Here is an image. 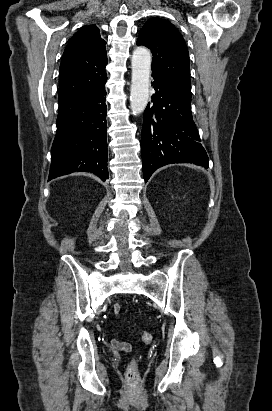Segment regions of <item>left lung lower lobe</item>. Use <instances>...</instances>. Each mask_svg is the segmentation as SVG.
<instances>
[{
  "label": "left lung lower lobe",
  "mask_w": 272,
  "mask_h": 411,
  "mask_svg": "<svg viewBox=\"0 0 272 411\" xmlns=\"http://www.w3.org/2000/svg\"><path fill=\"white\" fill-rule=\"evenodd\" d=\"M153 88L141 135L145 182L167 164L194 163L207 169L208 157L192 118L191 96L155 77Z\"/></svg>",
  "instance_id": "1"
}]
</instances>
